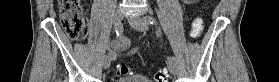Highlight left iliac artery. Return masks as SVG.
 I'll list each match as a JSON object with an SVG mask.
<instances>
[{"label": "left iliac artery", "mask_w": 279, "mask_h": 82, "mask_svg": "<svg viewBox=\"0 0 279 82\" xmlns=\"http://www.w3.org/2000/svg\"><path fill=\"white\" fill-rule=\"evenodd\" d=\"M144 20L150 24H153V25H157V20L156 18L152 17V16H146L144 17ZM162 35V31L161 29L158 27V31H157V36L158 37H161ZM168 61L169 62H175L176 61V58L175 57H168Z\"/></svg>", "instance_id": "44dca946"}]
</instances>
